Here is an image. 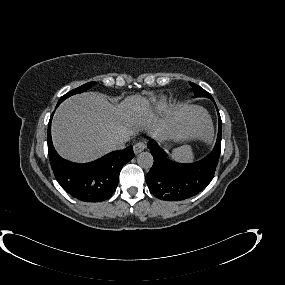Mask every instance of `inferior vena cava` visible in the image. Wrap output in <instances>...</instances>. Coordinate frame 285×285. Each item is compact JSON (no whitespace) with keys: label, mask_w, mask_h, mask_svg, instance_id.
Segmentation results:
<instances>
[{"label":"inferior vena cava","mask_w":285,"mask_h":285,"mask_svg":"<svg viewBox=\"0 0 285 285\" xmlns=\"http://www.w3.org/2000/svg\"><path fill=\"white\" fill-rule=\"evenodd\" d=\"M128 140L129 138L125 136L117 137L110 141L109 147L111 150H122L126 147Z\"/></svg>","instance_id":"1"}]
</instances>
